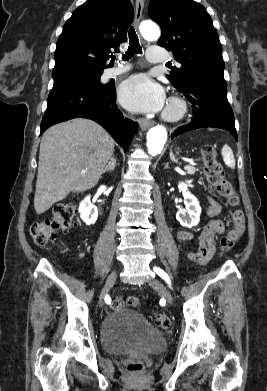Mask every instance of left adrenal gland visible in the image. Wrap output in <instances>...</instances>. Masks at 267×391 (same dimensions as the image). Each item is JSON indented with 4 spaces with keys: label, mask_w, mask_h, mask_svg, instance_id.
<instances>
[{
    "label": "left adrenal gland",
    "mask_w": 267,
    "mask_h": 391,
    "mask_svg": "<svg viewBox=\"0 0 267 391\" xmlns=\"http://www.w3.org/2000/svg\"><path fill=\"white\" fill-rule=\"evenodd\" d=\"M169 168L168 163L165 165V169Z\"/></svg>",
    "instance_id": "left-adrenal-gland-1"
}]
</instances>
